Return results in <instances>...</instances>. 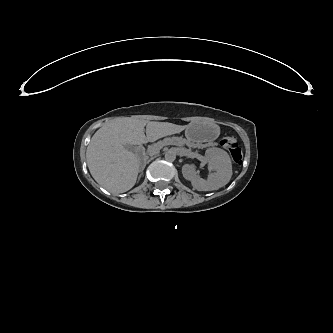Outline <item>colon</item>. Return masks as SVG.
Instances as JSON below:
<instances>
[{"label":"colon","mask_w":333,"mask_h":333,"mask_svg":"<svg viewBox=\"0 0 333 333\" xmlns=\"http://www.w3.org/2000/svg\"><path fill=\"white\" fill-rule=\"evenodd\" d=\"M222 146H224L230 153L233 162L236 165H241L242 163V152L234 137H225L221 141Z\"/></svg>","instance_id":"5ec220e1"}]
</instances>
